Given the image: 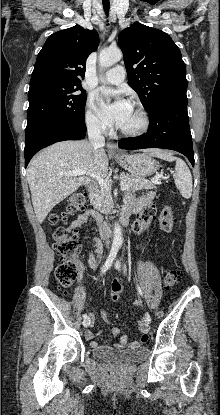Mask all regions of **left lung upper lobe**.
Returning <instances> with one entry per match:
<instances>
[{
	"mask_svg": "<svg viewBox=\"0 0 220 415\" xmlns=\"http://www.w3.org/2000/svg\"><path fill=\"white\" fill-rule=\"evenodd\" d=\"M118 40L128 84L147 112L164 98L186 94V66L168 34L136 22L124 29Z\"/></svg>",
	"mask_w": 220,
	"mask_h": 415,
	"instance_id": "obj_1",
	"label": "left lung upper lobe"
}]
</instances>
